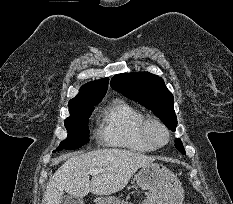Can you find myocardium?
I'll list each match as a JSON object with an SVG mask.
<instances>
[{
	"instance_id": "obj_1",
	"label": "myocardium",
	"mask_w": 233,
	"mask_h": 204,
	"mask_svg": "<svg viewBox=\"0 0 233 204\" xmlns=\"http://www.w3.org/2000/svg\"><path fill=\"white\" fill-rule=\"evenodd\" d=\"M152 125H156L164 131L165 141L163 143L158 144L152 139L150 135V127ZM139 134L143 141L153 149H160L166 146L170 140V131L168 127L160 119L154 116H146L142 119V121L139 124Z\"/></svg>"
}]
</instances>
